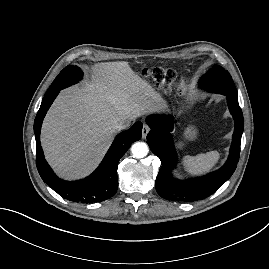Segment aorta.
<instances>
[{
  "label": "aorta",
  "mask_w": 269,
  "mask_h": 269,
  "mask_svg": "<svg viewBox=\"0 0 269 269\" xmlns=\"http://www.w3.org/2000/svg\"><path fill=\"white\" fill-rule=\"evenodd\" d=\"M148 145L144 142H135L131 147V153L134 158L140 159L148 154Z\"/></svg>",
  "instance_id": "1"
}]
</instances>
